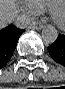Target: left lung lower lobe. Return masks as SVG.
<instances>
[{"instance_id": "0a47b994", "label": "left lung lower lobe", "mask_w": 65, "mask_h": 89, "mask_svg": "<svg viewBox=\"0 0 65 89\" xmlns=\"http://www.w3.org/2000/svg\"><path fill=\"white\" fill-rule=\"evenodd\" d=\"M50 56L59 64L65 66V33L59 34L56 41L48 48Z\"/></svg>"}]
</instances>
